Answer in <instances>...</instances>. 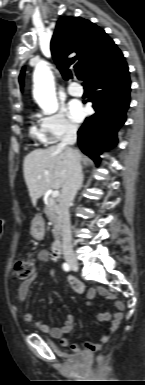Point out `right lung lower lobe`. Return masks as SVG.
<instances>
[{"label":"right lung lower lobe","instance_id":"obj_1","mask_svg":"<svg viewBox=\"0 0 145 385\" xmlns=\"http://www.w3.org/2000/svg\"><path fill=\"white\" fill-rule=\"evenodd\" d=\"M130 84L126 62L88 84L89 101L96 113L86 118L79 129L78 144L82 152L97 164L103 148H111L117 143L116 132L126 121L130 103Z\"/></svg>","mask_w":145,"mask_h":385}]
</instances>
